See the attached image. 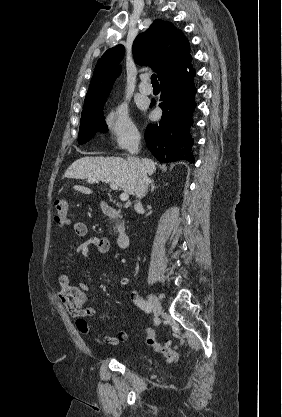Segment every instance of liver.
Segmentation results:
<instances>
[{"label": "liver", "mask_w": 282, "mask_h": 417, "mask_svg": "<svg viewBox=\"0 0 282 417\" xmlns=\"http://www.w3.org/2000/svg\"><path fill=\"white\" fill-rule=\"evenodd\" d=\"M138 160V158H137ZM143 166L146 168L148 174H153L156 170V162L151 158H141ZM64 176L68 178H96L102 182H113L121 186L122 190L134 194L137 176V164L131 160H125L121 156H82L74 160L68 166ZM75 190L84 192V194H91L93 190L87 186H80L75 184Z\"/></svg>", "instance_id": "6515ba94"}]
</instances>
